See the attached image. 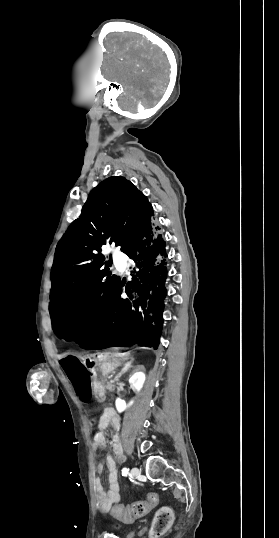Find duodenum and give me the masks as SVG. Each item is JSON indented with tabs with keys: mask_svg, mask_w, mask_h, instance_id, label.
<instances>
[{
	"mask_svg": "<svg viewBox=\"0 0 279 538\" xmlns=\"http://www.w3.org/2000/svg\"><path fill=\"white\" fill-rule=\"evenodd\" d=\"M94 385H97V382H94ZM112 409H113V406L111 404L104 406L103 414L110 415L112 413Z\"/></svg>",
	"mask_w": 279,
	"mask_h": 538,
	"instance_id": "duodenum-1",
	"label": "duodenum"
}]
</instances>
